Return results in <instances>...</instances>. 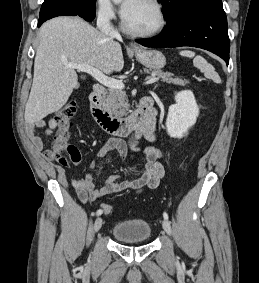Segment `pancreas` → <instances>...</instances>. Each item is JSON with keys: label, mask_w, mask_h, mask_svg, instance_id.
Masks as SVG:
<instances>
[{"label": "pancreas", "mask_w": 259, "mask_h": 283, "mask_svg": "<svg viewBox=\"0 0 259 283\" xmlns=\"http://www.w3.org/2000/svg\"><path fill=\"white\" fill-rule=\"evenodd\" d=\"M152 75L161 78L163 82L169 84L185 86L190 83L188 80L173 78L171 73L161 70H153ZM105 106L115 116H124L129 106L125 91L122 89H108L105 96Z\"/></svg>", "instance_id": "obj_1"}]
</instances>
